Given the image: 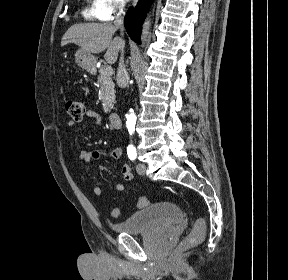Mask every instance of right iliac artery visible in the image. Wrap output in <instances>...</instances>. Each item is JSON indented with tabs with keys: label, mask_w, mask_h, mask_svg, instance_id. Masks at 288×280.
Listing matches in <instances>:
<instances>
[{
	"label": "right iliac artery",
	"mask_w": 288,
	"mask_h": 280,
	"mask_svg": "<svg viewBox=\"0 0 288 280\" xmlns=\"http://www.w3.org/2000/svg\"><path fill=\"white\" fill-rule=\"evenodd\" d=\"M127 154H128V157L131 159V160H135L136 159V156H137V153H136V149L133 145H129L128 148H127Z\"/></svg>",
	"instance_id": "right-iliac-artery-1"
}]
</instances>
